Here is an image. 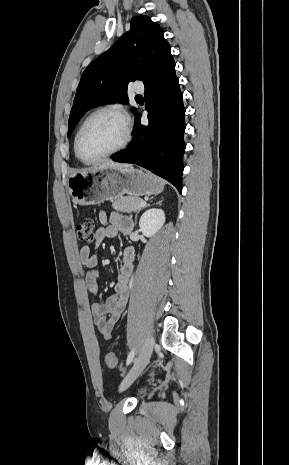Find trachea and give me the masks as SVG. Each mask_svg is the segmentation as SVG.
Returning a JSON list of instances; mask_svg holds the SVG:
<instances>
[{
    "label": "trachea",
    "instance_id": "trachea-1",
    "mask_svg": "<svg viewBox=\"0 0 289 465\" xmlns=\"http://www.w3.org/2000/svg\"><path fill=\"white\" fill-rule=\"evenodd\" d=\"M142 96L141 95H137L136 98H141Z\"/></svg>",
    "mask_w": 289,
    "mask_h": 465
}]
</instances>
